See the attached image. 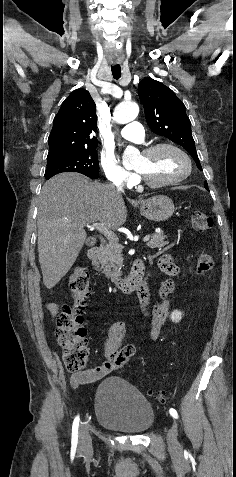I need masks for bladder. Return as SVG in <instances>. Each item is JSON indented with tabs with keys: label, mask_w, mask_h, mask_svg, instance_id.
Listing matches in <instances>:
<instances>
[{
	"label": "bladder",
	"mask_w": 236,
	"mask_h": 477,
	"mask_svg": "<svg viewBox=\"0 0 236 477\" xmlns=\"http://www.w3.org/2000/svg\"><path fill=\"white\" fill-rule=\"evenodd\" d=\"M95 419L125 434H142L155 422V412L144 395L121 377H108L95 393Z\"/></svg>",
	"instance_id": "31cf9c89"
}]
</instances>
